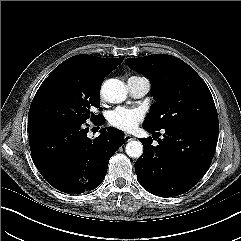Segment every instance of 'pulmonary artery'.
<instances>
[{"instance_id": "obj_1", "label": "pulmonary artery", "mask_w": 241, "mask_h": 241, "mask_svg": "<svg viewBox=\"0 0 241 241\" xmlns=\"http://www.w3.org/2000/svg\"><path fill=\"white\" fill-rule=\"evenodd\" d=\"M127 87L134 97L140 98L149 92L150 82L144 77L133 76L127 80Z\"/></svg>"}]
</instances>
